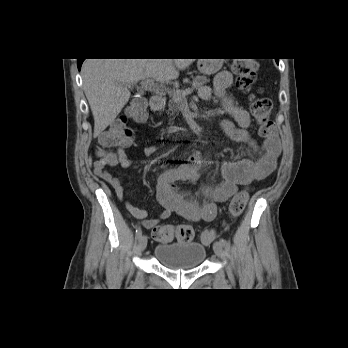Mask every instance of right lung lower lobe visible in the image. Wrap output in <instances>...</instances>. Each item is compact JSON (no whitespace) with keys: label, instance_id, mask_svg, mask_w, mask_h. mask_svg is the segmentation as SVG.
<instances>
[{"label":"right lung lower lobe","instance_id":"obj_1","mask_svg":"<svg viewBox=\"0 0 348 348\" xmlns=\"http://www.w3.org/2000/svg\"><path fill=\"white\" fill-rule=\"evenodd\" d=\"M84 61V59L82 60V59H78V64H77V66H78V69L80 70V68H81V65H82V62Z\"/></svg>","mask_w":348,"mask_h":348}]
</instances>
